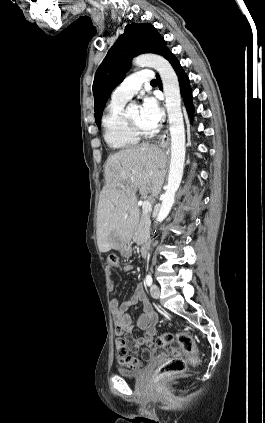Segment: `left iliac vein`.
<instances>
[{"label": "left iliac vein", "mask_w": 265, "mask_h": 423, "mask_svg": "<svg viewBox=\"0 0 265 423\" xmlns=\"http://www.w3.org/2000/svg\"><path fill=\"white\" fill-rule=\"evenodd\" d=\"M151 296L155 299H158L160 297V289L157 285L153 284L150 288Z\"/></svg>", "instance_id": "1"}]
</instances>
